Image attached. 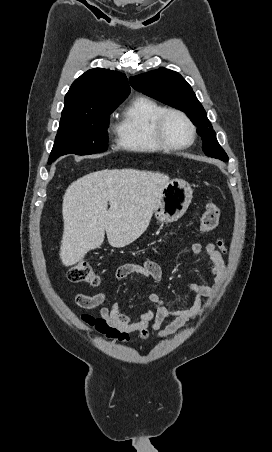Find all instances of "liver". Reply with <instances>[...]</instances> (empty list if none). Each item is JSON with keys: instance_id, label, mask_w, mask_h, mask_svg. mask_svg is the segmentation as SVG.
I'll list each match as a JSON object with an SVG mask.
<instances>
[{"instance_id": "1", "label": "liver", "mask_w": 272, "mask_h": 452, "mask_svg": "<svg viewBox=\"0 0 272 452\" xmlns=\"http://www.w3.org/2000/svg\"><path fill=\"white\" fill-rule=\"evenodd\" d=\"M169 176L135 169H104L68 186L63 196L64 230L60 259L66 267L99 248L107 234L112 247H124L147 229ZM108 202L110 208L108 209Z\"/></svg>"}]
</instances>
